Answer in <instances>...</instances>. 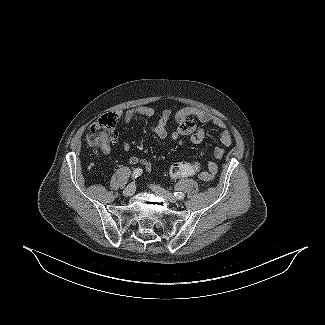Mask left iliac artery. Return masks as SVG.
<instances>
[{
  "label": "left iliac artery",
  "mask_w": 325,
  "mask_h": 325,
  "mask_svg": "<svg viewBox=\"0 0 325 325\" xmlns=\"http://www.w3.org/2000/svg\"><path fill=\"white\" fill-rule=\"evenodd\" d=\"M174 196L177 198V199H183L185 197V194L182 193V192H174Z\"/></svg>",
  "instance_id": "obj_1"
}]
</instances>
